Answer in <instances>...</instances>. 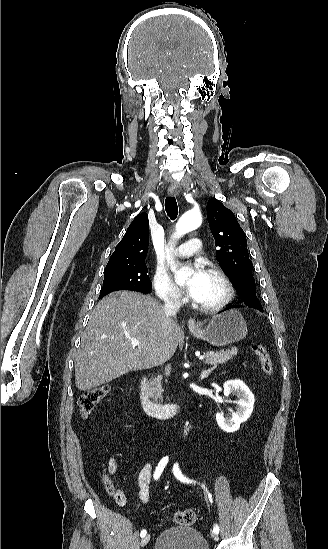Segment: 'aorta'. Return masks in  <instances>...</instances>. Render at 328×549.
I'll return each instance as SVG.
<instances>
[{
    "instance_id": "1",
    "label": "aorta",
    "mask_w": 328,
    "mask_h": 549,
    "mask_svg": "<svg viewBox=\"0 0 328 549\" xmlns=\"http://www.w3.org/2000/svg\"><path fill=\"white\" fill-rule=\"evenodd\" d=\"M202 223V216L198 211H188L184 213L176 224L175 237H181L182 235L197 229ZM188 273V272H187ZM177 284H181L182 281L179 276H175Z\"/></svg>"
}]
</instances>
